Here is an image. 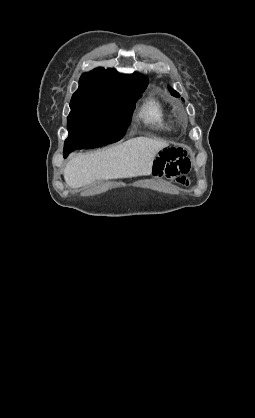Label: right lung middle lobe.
<instances>
[{"mask_svg":"<svg viewBox=\"0 0 255 418\" xmlns=\"http://www.w3.org/2000/svg\"><path fill=\"white\" fill-rule=\"evenodd\" d=\"M147 86V85H146ZM139 91L83 92L73 94L67 118L69 137L64 148L88 149L119 141L131 121Z\"/></svg>","mask_w":255,"mask_h":418,"instance_id":"right-lung-middle-lobe-1","label":"right lung middle lobe"}]
</instances>
